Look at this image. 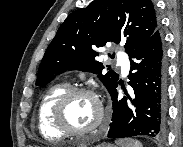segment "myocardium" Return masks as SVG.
<instances>
[{
    "mask_svg": "<svg viewBox=\"0 0 183 147\" xmlns=\"http://www.w3.org/2000/svg\"><path fill=\"white\" fill-rule=\"evenodd\" d=\"M78 95H87L93 99L97 106V118L95 122L88 128L83 130H77L72 128L69 125V122L66 118V108L69 101ZM106 116L105 108L103 105L102 100L100 97L91 89L84 88V87H74L68 89L61 97L57 100L54 105L53 113H52V120L57 129L67 135L73 136H83L95 131L104 121Z\"/></svg>",
    "mask_w": 183,
    "mask_h": 147,
    "instance_id": "f54148a6",
    "label": "myocardium"
}]
</instances>
